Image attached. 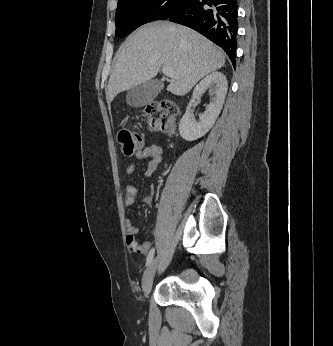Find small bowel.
<instances>
[{
  "label": "small bowel",
  "instance_id": "obj_1",
  "mask_svg": "<svg viewBox=\"0 0 333 346\" xmlns=\"http://www.w3.org/2000/svg\"><path fill=\"white\" fill-rule=\"evenodd\" d=\"M135 158L145 162L143 174L146 177H150L154 174L158 165L163 160V149L156 144L146 145L140 151L136 152ZM125 172L128 175H132L135 172V164H128ZM153 192L154 188L150 186L149 192L144 198V202L148 205L152 203ZM136 196L137 189L133 185H128L126 188L125 205L131 206L135 202ZM126 229L128 234L126 246L130 250V254H153V247H151L152 242L146 241L143 243L142 239H138L137 234L139 229L130 218L126 220Z\"/></svg>",
  "mask_w": 333,
  "mask_h": 346
}]
</instances>
